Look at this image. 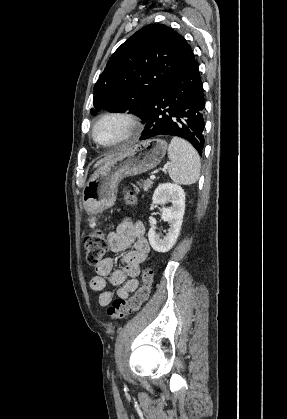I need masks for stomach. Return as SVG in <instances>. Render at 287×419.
<instances>
[{
	"label": "stomach",
	"instance_id": "0dacf381",
	"mask_svg": "<svg viewBox=\"0 0 287 419\" xmlns=\"http://www.w3.org/2000/svg\"><path fill=\"white\" fill-rule=\"evenodd\" d=\"M167 146L162 139H149L122 149L104 162L83 188L86 211L97 214L113 206L121 180L155 168L164 158Z\"/></svg>",
	"mask_w": 287,
	"mask_h": 419
}]
</instances>
